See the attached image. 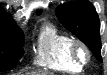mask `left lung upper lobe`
<instances>
[{
    "label": "left lung upper lobe",
    "instance_id": "left-lung-upper-lobe-1",
    "mask_svg": "<svg viewBox=\"0 0 107 75\" xmlns=\"http://www.w3.org/2000/svg\"><path fill=\"white\" fill-rule=\"evenodd\" d=\"M56 16L64 27L84 42L102 62L100 22L92 4L86 0L67 3L57 7Z\"/></svg>",
    "mask_w": 107,
    "mask_h": 75
}]
</instances>
